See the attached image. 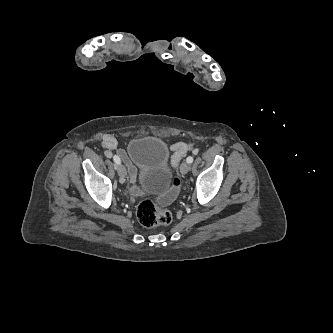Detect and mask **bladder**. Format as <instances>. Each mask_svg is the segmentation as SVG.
Here are the masks:
<instances>
[{
    "label": "bladder",
    "instance_id": "31cf9c89",
    "mask_svg": "<svg viewBox=\"0 0 333 333\" xmlns=\"http://www.w3.org/2000/svg\"><path fill=\"white\" fill-rule=\"evenodd\" d=\"M129 159L139 168L143 187L153 193L164 192L172 182L167 167L169 151L166 143L156 136L131 139L127 145Z\"/></svg>",
    "mask_w": 333,
    "mask_h": 333
}]
</instances>
